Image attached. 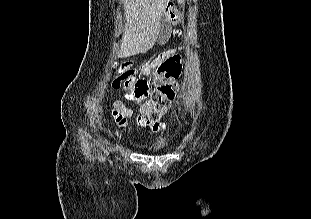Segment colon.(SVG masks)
Here are the masks:
<instances>
[{
  "mask_svg": "<svg viewBox=\"0 0 311 219\" xmlns=\"http://www.w3.org/2000/svg\"><path fill=\"white\" fill-rule=\"evenodd\" d=\"M184 60L179 56L166 58L157 68L153 79L154 90L149 96V81L135 78V71L129 61L118 62L114 69L117 78L115 87L131 89L130 99L142 101V112L150 120H158L169 108L176 94L177 79L180 77Z\"/></svg>",
  "mask_w": 311,
  "mask_h": 219,
  "instance_id": "colon-1",
  "label": "colon"
}]
</instances>
